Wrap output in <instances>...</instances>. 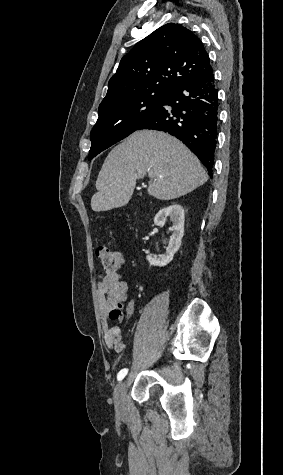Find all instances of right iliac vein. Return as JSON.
<instances>
[{"label": "right iliac vein", "mask_w": 283, "mask_h": 475, "mask_svg": "<svg viewBox=\"0 0 283 475\" xmlns=\"http://www.w3.org/2000/svg\"><path fill=\"white\" fill-rule=\"evenodd\" d=\"M124 395H125V381L120 382L114 393V401L115 407L118 416H122L124 414L125 409V402H124Z\"/></svg>", "instance_id": "1"}]
</instances>
